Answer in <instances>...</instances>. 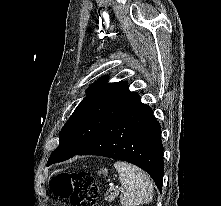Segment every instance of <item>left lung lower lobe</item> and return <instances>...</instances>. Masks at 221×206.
<instances>
[{"instance_id":"0a47b994","label":"left lung lower lobe","mask_w":221,"mask_h":206,"mask_svg":"<svg viewBox=\"0 0 221 206\" xmlns=\"http://www.w3.org/2000/svg\"><path fill=\"white\" fill-rule=\"evenodd\" d=\"M160 132L152 109L137 98L75 155H99L130 162L145 170L161 192L164 165Z\"/></svg>"}]
</instances>
